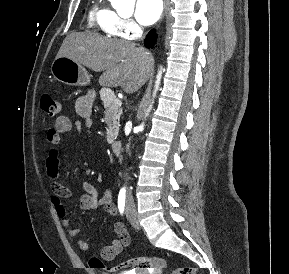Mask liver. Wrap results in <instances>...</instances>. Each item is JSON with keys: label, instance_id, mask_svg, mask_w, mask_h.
I'll return each mask as SVG.
<instances>
[{"label": "liver", "instance_id": "1", "mask_svg": "<svg viewBox=\"0 0 289 274\" xmlns=\"http://www.w3.org/2000/svg\"><path fill=\"white\" fill-rule=\"evenodd\" d=\"M56 57H68L95 72H103L101 85L121 86L127 93L141 86L149 62L145 50L134 43L79 32L66 36Z\"/></svg>", "mask_w": 289, "mask_h": 274}]
</instances>
